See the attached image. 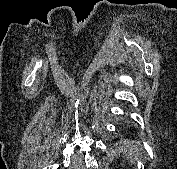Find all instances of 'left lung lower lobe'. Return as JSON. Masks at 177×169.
Returning a JSON list of instances; mask_svg holds the SVG:
<instances>
[{"instance_id":"1","label":"left lung lower lobe","mask_w":177,"mask_h":169,"mask_svg":"<svg viewBox=\"0 0 177 169\" xmlns=\"http://www.w3.org/2000/svg\"><path fill=\"white\" fill-rule=\"evenodd\" d=\"M122 134L125 136H130V135H132V130L126 128L123 130Z\"/></svg>"}]
</instances>
